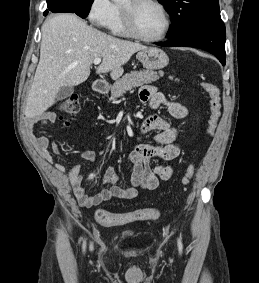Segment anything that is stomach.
Listing matches in <instances>:
<instances>
[{
  "label": "stomach",
  "mask_w": 259,
  "mask_h": 283,
  "mask_svg": "<svg viewBox=\"0 0 259 283\" xmlns=\"http://www.w3.org/2000/svg\"><path fill=\"white\" fill-rule=\"evenodd\" d=\"M137 58L145 68L150 70L162 69L169 62L167 54L157 47H147L140 50Z\"/></svg>",
  "instance_id": "0dacf381"
}]
</instances>
